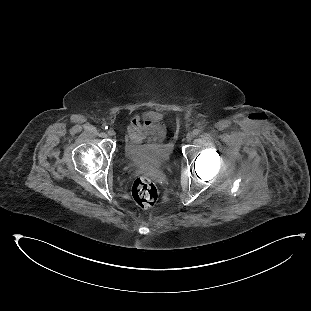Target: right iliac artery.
Returning <instances> with one entry per match:
<instances>
[{
  "instance_id": "82829eb1",
  "label": "right iliac artery",
  "mask_w": 311,
  "mask_h": 311,
  "mask_svg": "<svg viewBox=\"0 0 311 311\" xmlns=\"http://www.w3.org/2000/svg\"><path fill=\"white\" fill-rule=\"evenodd\" d=\"M102 128L106 130V129H108V126L106 124H103Z\"/></svg>"
}]
</instances>
